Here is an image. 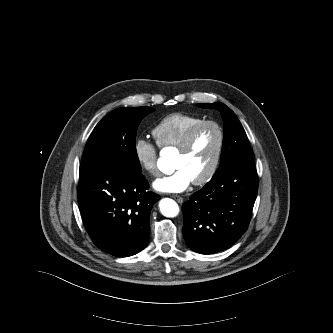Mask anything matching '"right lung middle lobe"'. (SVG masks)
<instances>
[{"label": "right lung middle lobe", "instance_id": "1", "mask_svg": "<svg viewBox=\"0 0 333 333\" xmlns=\"http://www.w3.org/2000/svg\"><path fill=\"white\" fill-rule=\"evenodd\" d=\"M151 107H125L107 114L94 128L84 150L82 165H118L141 173L136 152V131Z\"/></svg>", "mask_w": 333, "mask_h": 333}]
</instances>
